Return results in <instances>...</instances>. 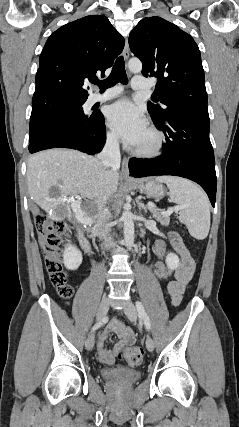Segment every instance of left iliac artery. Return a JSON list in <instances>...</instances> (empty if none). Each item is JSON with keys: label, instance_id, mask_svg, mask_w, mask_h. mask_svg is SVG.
Segmentation results:
<instances>
[{"label": "left iliac artery", "instance_id": "1", "mask_svg": "<svg viewBox=\"0 0 239 427\" xmlns=\"http://www.w3.org/2000/svg\"><path fill=\"white\" fill-rule=\"evenodd\" d=\"M136 308H137L139 317L144 321L146 328L150 330L151 328L150 319L147 316L145 309L143 307V304L140 301L136 302Z\"/></svg>", "mask_w": 239, "mask_h": 427}]
</instances>
